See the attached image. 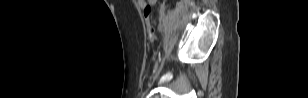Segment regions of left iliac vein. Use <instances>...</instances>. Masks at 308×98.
<instances>
[{
    "instance_id": "obj_1",
    "label": "left iliac vein",
    "mask_w": 308,
    "mask_h": 98,
    "mask_svg": "<svg viewBox=\"0 0 308 98\" xmlns=\"http://www.w3.org/2000/svg\"><path fill=\"white\" fill-rule=\"evenodd\" d=\"M162 67H163V63L161 64V66L159 67V69L157 70V72L154 74L153 79H155V78L159 75V73H160L161 70H162Z\"/></svg>"
}]
</instances>
